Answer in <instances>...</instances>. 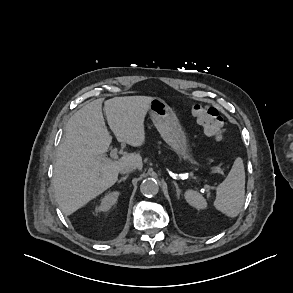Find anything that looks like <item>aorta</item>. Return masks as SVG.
I'll use <instances>...</instances> for the list:
<instances>
[{"instance_id":"obj_1","label":"aorta","mask_w":293,"mask_h":293,"mask_svg":"<svg viewBox=\"0 0 293 293\" xmlns=\"http://www.w3.org/2000/svg\"><path fill=\"white\" fill-rule=\"evenodd\" d=\"M140 191L144 196L152 197L159 191L158 182L154 178H146L140 185Z\"/></svg>"}]
</instances>
